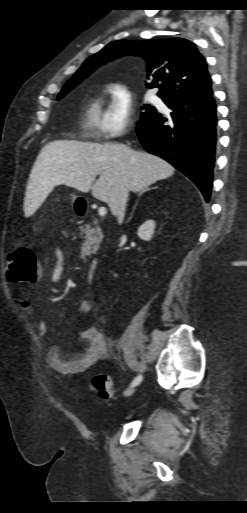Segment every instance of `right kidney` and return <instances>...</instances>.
<instances>
[{"label": "right kidney", "mask_w": 247, "mask_h": 513, "mask_svg": "<svg viewBox=\"0 0 247 513\" xmlns=\"http://www.w3.org/2000/svg\"><path fill=\"white\" fill-rule=\"evenodd\" d=\"M154 229H155V221L148 220L139 227L137 234H138L139 238H141L142 240L149 241V240H151V238L154 234Z\"/></svg>", "instance_id": "ca27d5eb"}]
</instances>
